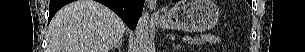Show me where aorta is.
I'll list each match as a JSON object with an SVG mask.
<instances>
[{"label":"aorta","mask_w":305,"mask_h":52,"mask_svg":"<svg viewBox=\"0 0 305 52\" xmlns=\"http://www.w3.org/2000/svg\"><path fill=\"white\" fill-rule=\"evenodd\" d=\"M134 52H152L149 36V13L145 11L138 20L133 37Z\"/></svg>","instance_id":"762f6f07"}]
</instances>
